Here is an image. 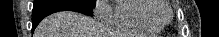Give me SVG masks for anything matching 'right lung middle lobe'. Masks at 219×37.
I'll use <instances>...</instances> for the list:
<instances>
[{"instance_id":"1","label":"right lung middle lobe","mask_w":219,"mask_h":37,"mask_svg":"<svg viewBox=\"0 0 219 37\" xmlns=\"http://www.w3.org/2000/svg\"><path fill=\"white\" fill-rule=\"evenodd\" d=\"M49 2H53V0H35L34 1V6H39V5H42V4H45V3H49ZM72 3H76L90 11L93 10V3H94V0H72L70 1Z\"/></svg>"}]
</instances>
